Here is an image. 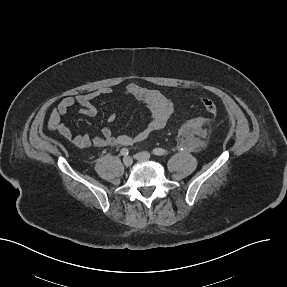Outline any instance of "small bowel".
Returning a JSON list of instances; mask_svg holds the SVG:
<instances>
[{
	"mask_svg": "<svg viewBox=\"0 0 287 287\" xmlns=\"http://www.w3.org/2000/svg\"><path fill=\"white\" fill-rule=\"evenodd\" d=\"M112 93L110 88H100L85 94L68 96L63 98L51 112V123L57 126L61 136L71 144L79 148L90 146H131L148 138L152 133L162 129L167 124L173 113L174 105L168 96L155 89H148L135 83H129L125 88V94L135 100L145 104L151 112V119L147 126L135 135H114L109 127H104L100 135L88 133L74 134L61 119L75 104L80 105L79 113L86 117H94L97 110L93 102L103 96ZM109 121L114 122L117 114L112 113Z\"/></svg>",
	"mask_w": 287,
	"mask_h": 287,
	"instance_id": "c3829d8e",
	"label": "small bowel"
}]
</instances>
